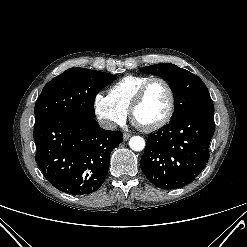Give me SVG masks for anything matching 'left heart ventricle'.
I'll list each match as a JSON object with an SVG mask.
<instances>
[{
    "instance_id": "left-heart-ventricle-1",
    "label": "left heart ventricle",
    "mask_w": 247,
    "mask_h": 247,
    "mask_svg": "<svg viewBox=\"0 0 247 247\" xmlns=\"http://www.w3.org/2000/svg\"><path fill=\"white\" fill-rule=\"evenodd\" d=\"M169 107V95L165 86L159 82L153 83L145 99L135 111V120L148 126L161 120Z\"/></svg>"
}]
</instances>
